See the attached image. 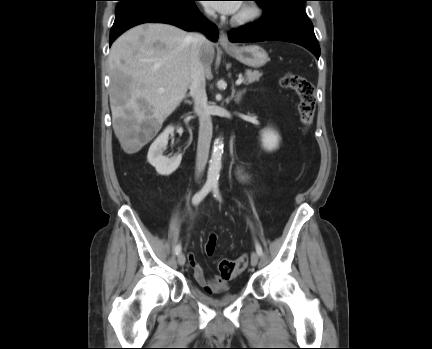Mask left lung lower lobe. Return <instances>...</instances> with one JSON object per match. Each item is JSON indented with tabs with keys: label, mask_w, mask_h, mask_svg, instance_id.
Returning a JSON list of instances; mask_svg holds the SVG:
<instances>
[{
	"label": "left lung lower lobe",
	"mask_w": 432,
	"mask_h": 349,
	"mask_svg": "<svg viewBox=\"0 0 432 349\" xmlns=\"http://www.w3.org/2000/svg\"><path fill=\"white\" fill-rule=\"evenodd\" d=\"M232 42L287 41L305 47L320 56V47L311 21L304 11L272 6L264 10L258 23L248 24L229 33Z\"/></svg>",
	"instance_id": "1"
}]
</instances>
